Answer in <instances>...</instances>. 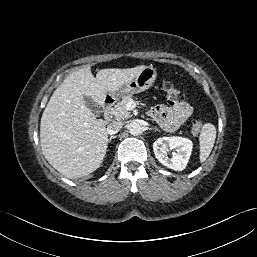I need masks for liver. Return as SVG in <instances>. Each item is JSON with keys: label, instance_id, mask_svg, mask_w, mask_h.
Returning <instances> with one entry per match:
<instances>
[{"label": "liver", "instance_id": "1", "mask_svg": "<svg viewBox=\"0 0 257 257\" xmlns=\"http://www.w3.org/2000/svg\"><path fill=\"white\" fill-rule=\"evenodd\" d=\"M145 65L101 69L94 77L90 67L69 74L52 94L40 122L41 150L49 164L69 179L94 172L108 144L106 123L85 105L89 97L101 107L107 92H115L135 78Z\"/></svg>", "mask_w": 257, "mask_h": 257}]
</instances>
